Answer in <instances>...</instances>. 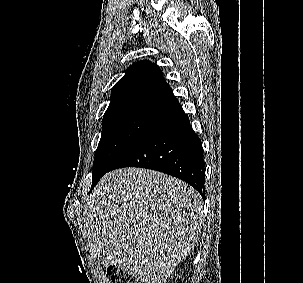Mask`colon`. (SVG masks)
Instances as JSON below:
<instances>
[{
    "label": "colon",
    "mask_w": 303,
    "mask_h": 283,
    "mask_svg": "<svg viewBox=\"0 0 303 283\" xmlns=\"http://www.w3.org/2000/svg\"><path fill=\"white\" fill-rule=\"evenodd\" d=\"M107 274L113 283H138L136 280L126 276L118 267L114 265L107 267Z\"/></svg>",
    "instance_id": "colon-1"
}]
</instances>
